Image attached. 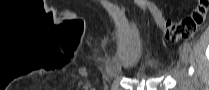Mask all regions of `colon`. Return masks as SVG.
Returning <instances> with one entry per match:
<instances>
[{
    "mask_svg": "<svg viewBox=\"0 0 209 90\" xmlns=\"http://www.w3.org/2000/svg\"><path fill=\"white\" fill-rule=\"evenodd\" d=\"M141 8L152 18L163 37L171 42L190 39L204 24L209 12V0H199L192 12L178 22L165 19L149 0L140 1Z\"/></svg>",
    "mask_w": 209,
    "mask_h": 90,
    "instance_id": "colon-1",
    "label": "colon"
}]
</instances>
